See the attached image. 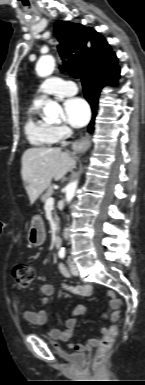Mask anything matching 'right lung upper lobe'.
I'll return each mask as SVG.
<instances>
[{
    "instance_id": "cb5924a9",
    "label": "right lung upper lobe",
    "mask_w": 145,
    "mask_h": 385,
    "mask_svg": "<svg viewBox=\"0 0 145 385\" xmlns=\"http://www.w3.org/2000/svg\"><path fill=\"white\" fill-rule=\"evenodd\" d=\"M55 36L65 48L69 61L80 75L106 68L117 62L110 46L94 29L82 25L57 21Z\"/></svg>"
}]
</instances>
